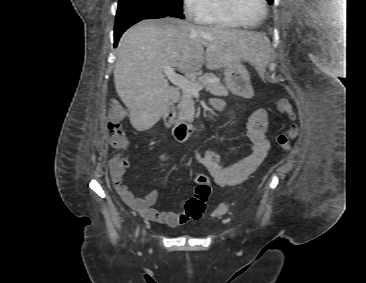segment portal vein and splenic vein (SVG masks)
Wrapping results in <instances>:
<instances>
[{
  "label": "portal vein and splenic vein",
  "instance_id": "1",
  "mask_svg": "<svg viewBox=\"0 0 366 283\" xmlns=\"http://www.w3.org/2000/svg\"><path fill=\"white\" fill-rule=\"evenodd\" d=\"M163 72L165 73L167 79L172 84L182 89L183 92L190 93L192 95H199V91L204 87L203 85L176 73L175 70L170 66H165L163 68Z\"/></svg>",
  "mask_w": 366,
  "mask_h": 283
}]
</instances>
